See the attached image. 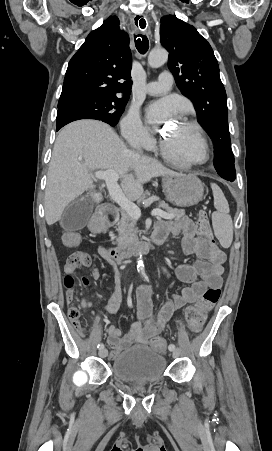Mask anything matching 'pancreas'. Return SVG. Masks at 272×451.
<instances>
[{"label": "pancreas", "instance_id": "obj_1", "mask_svg": "<svg viewBox=\"0 0 272 451\" xmlns=\"http://www.w3.org/2000/svg\"><path fill=\"white\" fill-rule=\"evenodd\" d=\"M146 194H144L142 200H145ZM158 208H162L165 210L166 214H171L172 220L173 218H182L185 214V210H176V208H170L169 204H165V202H159ZM136 220H133L129 214H122L121 220H119L116 231H118V237H116V241L118 247H128L130 243H134V241H138V237L136 235Z\"/></svg>", "mask_w": 272, "mask_h": 451}]
</instances>
